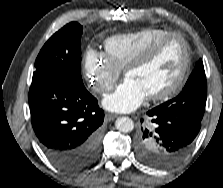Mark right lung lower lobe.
<instances>
[{
  "label": "right lung lower lobe",
  "mask_w": 223,
  "mask_h": 188,
  "mask_svg": "<svg viewBox=\"0 0 223 188\" xmlns=\"http://www.w3.org/2000/svg\"><path fill=\"white\" fill-rule=\"evenodd\" d=\"M28 100L40 147L55 166L74 172L94 163L104 120L95 97L64 81L33 77Z\"/></svg>",
  "instance_id": "1"
}]
</instances>
